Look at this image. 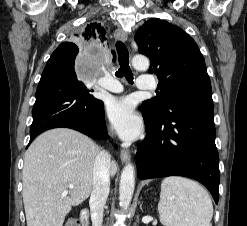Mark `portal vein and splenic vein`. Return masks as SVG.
<instances>
[{"label": "portal vein and splenic vein", "instance_id": "1", "mask_svg": "<svg viewBox=\"0 0 247 226\" xmlns=\"http://www.w3.org/2000/svg\"><path fill=\"white\" fill-rule=\"evenodd\" d=\"M69 188H73V185H69ZM67 192H64V194H66Z\"/></svg>", "mask_w": 247, "mask_h": 226}]
</instances>
